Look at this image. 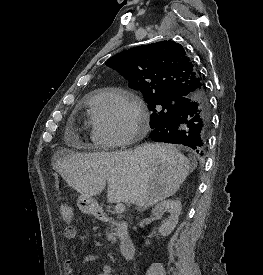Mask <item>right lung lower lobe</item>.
I'll use <instances>...</instances> for the list:
<instances>
[{"instance_id":"1","label":"right lung lower lobe","mask_w":263,"mask_h":275,"mask_svg":"<svg viewBox=\"0 0 263 275\" xmlns=\"http://www.w3.org/2000/svg\"><path fill=\"white\" fill-rule=\"evenodd\" d=\"M211 123L210 105L205 90L197 92L175 115L158 124L150 134L156 142L188 146L204 154Z\"/></svg>"}]
</instances>
